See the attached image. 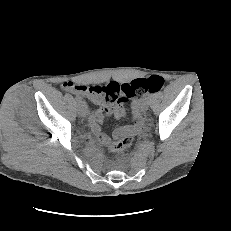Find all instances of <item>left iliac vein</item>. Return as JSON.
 Segmentation results:
<instances>
[{
	"label": "left iliac vein",
	"mask_w": 231,
	"mask_h": 231,
	"mask_svg": "<svg viewBox=\"0 0 231 231\" xmlns=\"http://www.w3.org/2000/svg\"><path fill=\"white\" fill-rule=\"evenodd\" d=\"M148 100L146 98H143L141 101H140V105H139V108L141 111H146L148 109Z\"/></svg>",
	"instance_id": "obj_1"
}]
</instances>
